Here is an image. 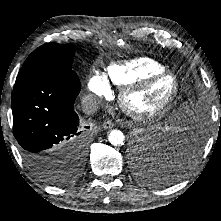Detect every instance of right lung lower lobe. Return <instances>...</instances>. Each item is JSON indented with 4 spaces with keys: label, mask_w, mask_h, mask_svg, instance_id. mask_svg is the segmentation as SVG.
Masks as SVG:
<instances>
[{
    "label": "right lung lower lobe",
    "mask_w": 221,
    "mask_h": 221,
    "mask_svg": "<svg viewBox=\"0 0 221 221\" xmlns=\"http://www.w3.org/2000/svg\"><path fill=\"white\" fill-rule=\"evenodd\" d=\"M80 89L78 77L66 74L40 77L12 92L20 153L43 176L60 164L81 165L84 160L87 141L74 111Z\"/></svg>",
    "instance_id": "right-lung-lower-lobe-1"
}]
</instances>
